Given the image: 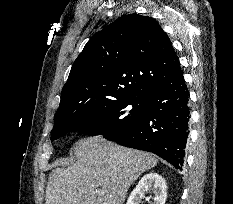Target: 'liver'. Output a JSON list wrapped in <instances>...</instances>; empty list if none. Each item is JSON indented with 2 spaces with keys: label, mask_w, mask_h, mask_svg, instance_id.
Returning a JSON list of instances; mask_svg holds the SVG:
<instances>
[{
  "label": "liver",
  "mask_w": 233,
  "mask_h": 204,
  "mask_svg": "<svg viewBox=\"0 0 233 204\" xmlns=\"http://www.w3.org/2000/svg\"><path fill=\"white\" fill-rule=\"evenodd\" d=\"M73 152L74 163L49 174L45 204H123L131 184L158 162L99 137L80 139Z\"/></svg>",
  "instance_id": "obj_1"
}]
</instances>
